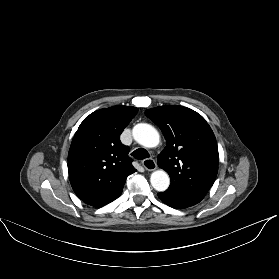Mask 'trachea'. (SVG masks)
Wrapping results in <instances>:
<instances>
[{
	"instance_id": "trachea-1",
	"label": "trachea",
	"mask_w": 279,
	"mask_h": 279,
	"mask_svg": "<svg viewBox=\"0 0 279 279\" xmlns=\"http://www.w3.org/2000/svg\"><path fill=\"white\" fill-rule=\"evenodd\" d=\"M131 155L134 158L139 159V160L146 159V158L150 157L148 152L146 150L142 149V148L136 149L135 151H133L131 153Z\"/></svg>"
}]
</instances>
